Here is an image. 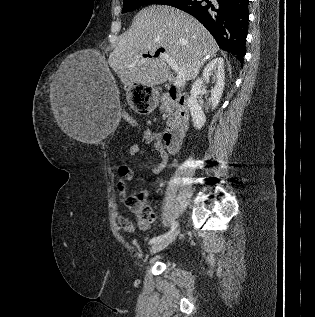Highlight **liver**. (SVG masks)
<instances>
[{
    "instance_id": "1",
    "label": "liver",
    "mask_w": 315,
    "mask_h": 317,
    "mask_svg": "<svg viewBox=\"0 0 315 317\" xmlns=\"http://www.w3.org/2000/svg\"><path fill=\"white\" fill-rule=\"evenodd\" d=\"M160 47L165 52L159 57H143V54L154 55ZM218 49L212 35L194 17L174 7L154 5L134 17L130 29L109 55L108 63L125 86L141 83L152 87L170 77L165 55L177 62L186 80H191ZM69 65L70 61L66 60L60 71L67 70ZM109 95L117 105L118 93L111 90ZM68 102L51 94V107L59 127L70 138L82 141V123Z\"/></svg>"
}]
</instances>
